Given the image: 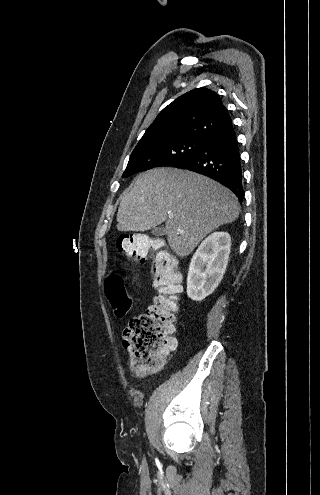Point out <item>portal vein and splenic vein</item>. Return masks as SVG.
Listing matches in <instances>:
<instances>
[{
    "mask_svg": "<svg viewBox=\"0 0 320 495\" xmlns=\"http://www.w3.org/2000/svg\"><path fill=\"white\" fill-rule=\"evenodd\" d=\"M168 217L169 218L173 217V214L171 212H168Z\"/></svg>",
    "mask_w": 320,
    "mask_h": 495,
    "instance_id": "1",
    "label": "portal vein and splenic vein"
}]
</instances>
